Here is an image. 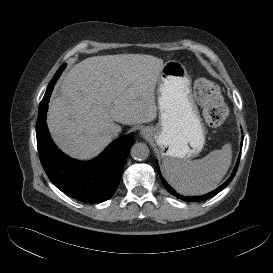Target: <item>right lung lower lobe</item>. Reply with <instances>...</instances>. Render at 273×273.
<instances>
[{
	"mask_svg": "<svg viewBox=\"0 0 273 273\" xmlns=\"http://www.w3.org/2000/svg\"><path fill=\"white\" fill-rule=\"evenodd\" d=\"M55 83H50L39 106L37 146L42 166L52 183L84 203L108 200L115 192L131 146L133 133L112 142L97 158L79 162L63 154L49 135L46 114Z\"/></svg>",
	"mask_w": 273,
	"mask_h": 273,
	"instance_id": "1",
	"label": "right lung lower lobe"
}]
</instances>
